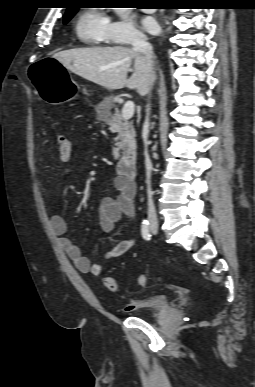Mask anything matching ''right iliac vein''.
Here are the masks:
<instances>
[{
    "instance_id": "obj_1",
    "label": "right iliac vein",
    "mask_w": 255,
    "mask_h": 387,
    "mask_svg": "<svg viewBox=\"0 0 255 387\" xmlns=\"http://www.w3.org/2000/svg\"><path fill=\"white\" fill-rule=\"evenodd\" d=\"M152 228H157V224H153V225H152Z\"/></svg>"
}]
</instances>
